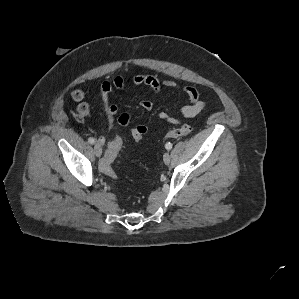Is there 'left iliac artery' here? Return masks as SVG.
<instances>
[{"label": "left iliac artery", "instance_id": "1", "mask_svg": "<svg viewBox=\"0 0 299 299\" xmlns=\"http://www.w3.org/2000/svg\"><path fill=\"white\" fill-rule=\"evenodd\" d=\"M165 148L170 150L172 148V144L170 142L166 143Z\"/></svg>", "mask_w": 299, "mask_h": 299}]
</instances>
